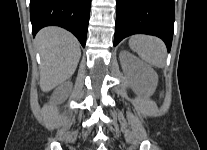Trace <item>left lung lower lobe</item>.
I'll use <instances>...</instances> for the list:
<instances>
[{
	"mask_svg": "<svg viewBox=\"0 0 207 150\" xmlns=\"http://www.w3.org/2000/svg\"><path fill=\"white\" fill-rule=\"evenodd\" d=\"M114 46L132 34L161 38L170 51L174 31V0H117Z\"/></svg>",
	"mask_w": 207,
	"mask_h": 150,
	"instance_id": "0a47b994",
	"label": "left lung lower lobe"
}]
</instances>
